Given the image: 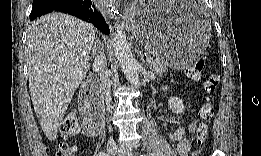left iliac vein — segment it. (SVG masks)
I'll list each match as a JSON object with an SVG mask.
<instances>
[{
	"label": "left iliac vein",
	"mask_w": 261,
	"mask_h": 156,
	"mask_svg": "<svg viewBox=\"0 0 261 156\" xmlns=\"http://www.w3.org/2000/svg\"><path fill=\"white\" fill-rule=\"evenodd\" d=\"M118 154L120 156H132L133 155V153L131 151L124 150V149H119Z\"/></svg>",
	"instance_id": "left-iliac-vein-1"
}]
</instances>
